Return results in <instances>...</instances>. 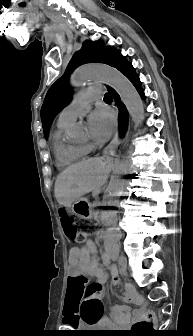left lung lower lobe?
<instances>
[{"label":"left lung lower lobe","instance_id":"left-lung-lower-lobe-1","mask_svg":"<svg viewBox=\"0 0 193 336\" xmlns=\"http://www.w3.org/2000/svg\"><path fill=\"white\" fill-rule=\"evenodd\" d=\"M113 67L123 73L132 82L141 97H144V92L141 88L139 77L135 74L133 66L121 55V53H118V55L116 56ZM108 90L110 94L115 98V104L120 110L118 116L119 129L120 135L123 136L127 128L128 112L125 106L121 103L119 95L112 88H108Z\"/></svg>","mask_w":193,"mask_h":336}]
</instances>
